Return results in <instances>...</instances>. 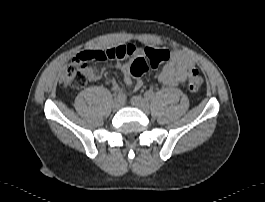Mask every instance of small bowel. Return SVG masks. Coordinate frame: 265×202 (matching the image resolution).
Here are the masks:
<instances>
[{"label":"small bowel","instance_id":"obj_1","mask_svg":"<svg viewBox=\"0 0 265 202\" xmlns=\"http://www.w3.org/2000/svg\"><path fill=\"white\" fill-rule=\"evenodd\" d=\"M108 49L110 48L100 49L98 51L105 52ZM113 49L116 52H122L124 55L120 59H115L113 64L115 68L121 69L124 83L127 86H133L135 91L140 90L143 83L140 79L132 75L131 61L129 60L125 63H122V61L131 58L137 53H142V51L131 44H123ZM75 61L79 62V59L76 57ZM192 68H195V61L193 57L182 50H174L170 53L169 62L165 65L159 75V81L163 85L170 87L182 84L185 82L188 72ZM84 73L89 81H96L101 76L99 70L93 65H86L84 67ZM112 89L116 92L121 91L120 86L115 82L112 84Z\"/></svg>","mask_w":265,"mask_h":202}]
</instances>
